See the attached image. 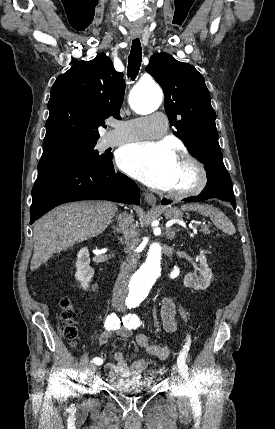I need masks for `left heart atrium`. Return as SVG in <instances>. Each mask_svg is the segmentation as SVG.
<instances>
[{
  "instance_id": "1",
  "label": "left heart atrium",
  "mask_w": 275,
  "mask_h": 429,
  "mask_svg": "<svg viewBox=\"0 0 275 429\" xmlns=\"http://www.w3.org/2000/svg\"><path fill=\"white\" fill-rule=\"evenodd\" d=\"M117 163L125 173L144 184L169 190L177 157L167 143L141 141L122 147L117 155Z\"/></svg>"
}]
</instances>
